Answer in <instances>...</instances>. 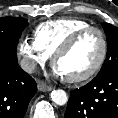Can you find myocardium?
Segmentation results:
<instances>
[{"instance_id":"f54148a6","label":"myocardium","mask_w":118,"mask_h":118,"mask_svg":"<svg viewBox=\"0 0 118 118\" xmlns=\"http://www.w3.org/2000/svg\"><path fill=\"white\" fill-rule=\"evenodd\" d=\"M91 32L98 34L101 40L102 49L97 62L86 73L75 77H63L64 81L68 83H79L87 81L91 79L93 76H95L103 66L108 54V40L105 33L100 28L94 26H89L75 32L62 45H60L52 54V65L55 66V63L58 60V58L70 51L82 37Z\"/></svg>"}]
</instances>
